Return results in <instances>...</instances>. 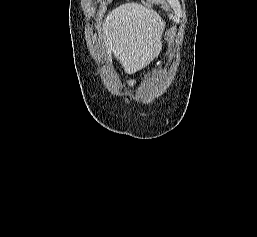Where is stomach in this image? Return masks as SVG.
I'll return each mask as SVG.
<instances>
[{
	"mask_svg": "<svg viewBox=\"0 0 257 237\" xmlns=\"http://www.w3.org/2000/svg\"><path fill=\"white\" fill-rule=\"evenodd\" d=\"M129 86H133L134 85V80H130L127 82Z\"/></svg>",
	"mask_w": 257,
	"mask_h": 237,
	"instance_id": "1",
	"label": "stomach"
}]
</instances>
